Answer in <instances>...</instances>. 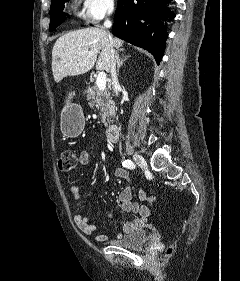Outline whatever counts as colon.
Wrapping results in <instances>:
<instances>
[{"instance_id": "5ec220e1", "label": "colon", "mask_w": 240, "mask_h": 281, "mask_svg": "<svg viewBox=\"0 0 240 281\" xmlns=\"http://www.w3.org/2000/svg\"><path fill=\"white\" fill-rule=\"evenodd\" d=\"M77 164H78V157L71 150L63 151L58 159V167L61 171H65V172L71 171L77 167ZM145 198L151 203L154 201L153 195H146ZM171 252L172 249L168 248L166 254L169 255L171 254Z\"/></svg>"}]
</instances>
